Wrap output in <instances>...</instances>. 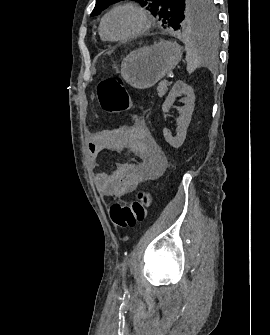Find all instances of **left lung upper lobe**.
<instances>
[{
    "instance_id": "1",
    "label": "left lung upper lobe",
    "mask_w": 270,
    "mask_h": 335,
    "mask_svg": "<svg viewBox=\"0 0 270 335\" xmlns=\"http://www.w3.org/2000/svg\"><path fill=\"white\" fill-rule=\"evenodd\" d=\"M119 0H97L91 16ZM146 6L147 10L159 20L163 26L174 30L192 32L197 30H215L217 10L214 0H133Z\"/></svg>"
}]
</instances>
